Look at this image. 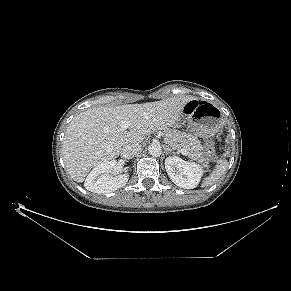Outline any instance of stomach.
<instances>
[{
  "label": "stomach",
  "mask_w": 291,
  "mask_h": 291,
  "mask_svg": "<svg viewBox=\"0 0 291 291\" xmlns=\"http://www.w3.org/2000/svg\"><path fill=\"white\" fill-rule=\"evenodd\" d=\"M191 131L200 137H212L218 133L223 125L220 109L212 103H198L196 109L186 116Z\"/></svg>",
  "instance_id": "stomach-1"
}]
</instances>
